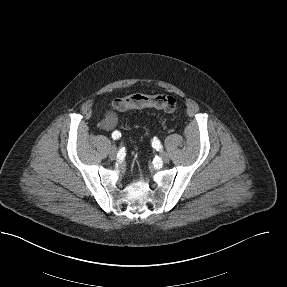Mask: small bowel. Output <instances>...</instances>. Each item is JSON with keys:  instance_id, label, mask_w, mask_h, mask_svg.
Segmentation results:
<instances>
[{"instance_id": "small-bowel-1", "label": "small bowel", "mask_w": 287, "mask_h": 287, "mask_svg": "<svg viewBox=\"0 0 287 287\" xmlns=\"http://www.w3.org/2000/svg\"><path fill=\"white\" fill-rule=\"evenodd\" d=\"M117 123H118V117H117L116 113L113 111H109L105 115L104 119L101 121L100 126L104 130H108V131L111 130V131L115 132V131H117V130H115Z\"/></svg>"}]
</instances>
